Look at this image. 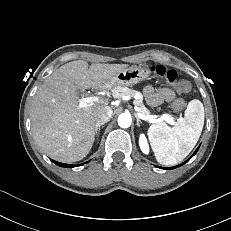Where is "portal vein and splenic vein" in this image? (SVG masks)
<instances>
[{
    "mask_svg": "<svg viewBox=\"0 0 231 231\" xmlns=\"http://www.w3.org/2000/svg\"><path fill=\"white\" fill-rule=\"evenodd\" d=\"M100 100V98L98 96H93V97H87V98H83L80 100L79 102V105L81 107H86V106H91V105H94L95 102H98ZM139 118L143 119V120H148V121H153V118H156V117H153V116H147V115H142V114H138ZM160 121H166L167 123L171 124V125H174L175 124V121L170 118L169 116L167 115H162V116H159V119Z\"/></svg>",
    "mask_w": 231,
    "mask_h": 231,
    "instance_id": "18ae733b",
    "label": "portal vein and splenic vein"
}]
</instances>
